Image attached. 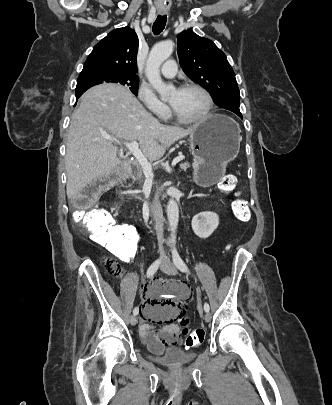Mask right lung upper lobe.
I'll list each match as a JSON object with an SVG mask.
<instances>
[{"instance_id":"right-lung-upper-lobe-1","label":"right lung upper lobe","mask_w":332,"mask_h":405,"mask_svg":"<svg viewBox=\"0 0 332 405\" xmlns=\"http://www.w3.org/2000/svg\"><path fill=\"white\" fill-rule=\"evenodd\" d=\"M138 37L129 27L111 31L97 43L84 63L82 72L109 70L137 76Z\"/></svg>"}]
</instances>
